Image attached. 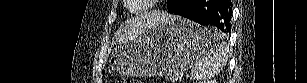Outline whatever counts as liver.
<instances>
[{"label":"liver","mask_w":307,"mask_h":83,"mask_svg":"<svg viewBox=\"0 0 307 83\" xmlns=\"http://www.w3.org/2000/svg\"><path fill=\"white\" fill-rule=\"evenodd\" d=\"M172 16L173 15H169L167 13L153 12L144 16L133 18L125 22V24H123L116 32L114 42L118 44L124 43L131 38L138 36L148 25H157L171 19Z\"/></svg>","instance_id":"obj_1"}]
</instances>
